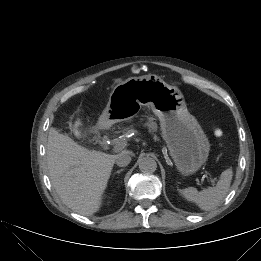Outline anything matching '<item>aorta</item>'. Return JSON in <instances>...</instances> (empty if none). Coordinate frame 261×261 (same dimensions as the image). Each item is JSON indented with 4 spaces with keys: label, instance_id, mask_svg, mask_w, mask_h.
Here are the masks:
<instances>
[{
    "label": "aorta",
    "instance_id": "aorta-1",
    "mask_svg": "<svg viewBox=\"0 0 261 261\" xmlns=\"http://www.w3.org/2000/svg\"><path fill=\"white\" fill-rule=\"evenodd\" d=\"M139 169L143 173H153L157 169V163L156 161L149 156H145L139 159L138 161Z\"/></svg>",
    "mask_w": 261,
    "mask_h": 261
}]
</instances>
